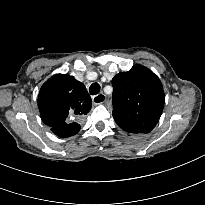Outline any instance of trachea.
Here are the masks:
<instances>
[{
    "mask_svg": "<svg viewBox=\"0 0 205 205\" xmlns=\"http://www.w3.org/2000/svg\"><path fill=\"white\" fill-rule=\"evenodd\" d=\"M89 92L91 95H97L100 92V85L98 83L91 84Z\"/></svg>",
    "mask_w": 205,
    "mask_h": 205,
    "instance_id": "3493384b",
    "label": "trachea"
}]
</instances>
